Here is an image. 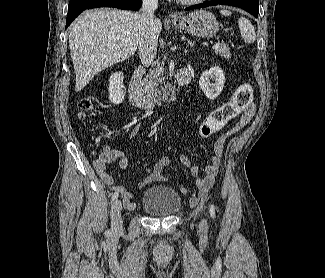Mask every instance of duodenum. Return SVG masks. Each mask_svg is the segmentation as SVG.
I'll list each match as a JSON object with an SVG mask.
<instances>
[{"mask_svg":"<svg viewBox=\"0 0 325 278\" xmlns=\"http://www.w3.org/2000/svg\"><path fill=\"white\" fill-rule=\"evenodd\" d=\"M142 74V68L136 69L132 74L128 83V95L133 105L145 110H154L164 104L171 103L176 98L179 88L188 85L191 82L190 68H183L178 73L175 85L171 88L166 97L161 101H155L147 96L141 88Z\"/></svg>","mask_w":325,"mask_h":278,"instance_id":"obj_1","label":"duodenum"}]
</instances>
